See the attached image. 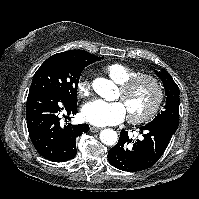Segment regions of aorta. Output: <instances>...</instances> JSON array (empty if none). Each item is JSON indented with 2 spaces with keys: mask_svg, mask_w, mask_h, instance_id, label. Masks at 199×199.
Listing matches in <instances>:
<instances>
[{
  "mask_svg": "<svg viewBox=\"0 0 199 199\" xmlns=\"http://www.w3.org/2000/svg\"><path fill=\"white\" fill-rule=\"evenodd\" d=\"M93 88L98 95L106 100H111L115 84L105 78H98L93 82ZM100 140L105 145L112 146L117 143L118 135L112 129H104L100 132Z\"/></svg>",
  "mask_w": 199,
  "mask_h": 199,
  "instance_id": "762f6f07",
  "label": "aorta"
}]
</instances>
